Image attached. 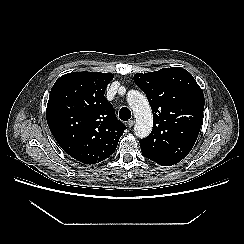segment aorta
I'll return each mask as SVG.
<instances>
[{
    "label": "aorta",
    "instance_id": "762f6f07",
    "mask_svg": "<svg viewBox=\"0 0 244 244\" xmlns=\"http://www.w3.org/2000/svg\"><path fill=\"white\" fill-rule=\"evenodd\" d=\"M127 101L136 118L134 133L139 138L148 136L152 130V111L147 98L136 90L128 93Z\"/></svg>",
    "mask_w": 244,
    "mask_h": 244
}]
</instances>
